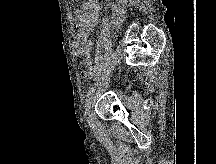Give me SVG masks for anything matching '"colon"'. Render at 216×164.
I'll use <instances>...</instances> for the list:
<instances>
[{"label":"colon","instance_id":"obj_1","mask_svg":"<svg viewBox=\"0 0 216 164\" xmlns=\"http://www.w3.org/2000/svg\"><path fill=\"white\" fill-rule=\"evenodd\" d=\"M81 75L85 79L93 78L94 68L92 66L85 65V68L82 70Z\"/></svg>","mask_w":216,"mask_h":164}]
</instances>
